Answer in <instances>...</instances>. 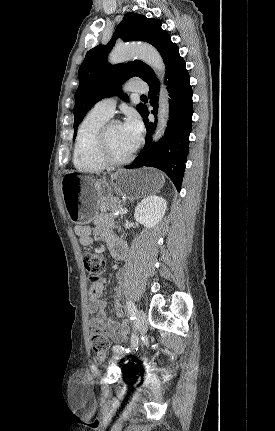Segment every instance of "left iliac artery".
Listing matches in <instances>:
<instances>
[{
  "label": "left iliac artery",
  "mask_w": 275,
  "mask_h": 431,
  "mask_svg": "<svg viewBox=\"0 0 275 431\" xmlns=\"http://www.w3.org/2000/svg\"><path fill=\"white\" fill-rule=\"evenodd\" d=\"M126 306H127V310H128V315L129 318L131 320H135L136 319V307L135 304L133 303L132 300H127L126 301ZM138 349V337L136 335H132L131 336V349L126 348L122 345H116L113 347V351L116 353H130L131 350H137Z\"/></svg>",
  "instance_id": "left-iliac-artery-1"
}]
</instances>
